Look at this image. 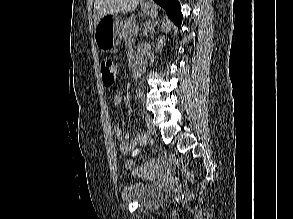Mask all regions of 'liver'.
<instances>
[{"instance_id":"liver-1","label":"liver","mask_w":293,"mask_h":219,"mask_svg":"<svg viewBox=\"0 0 293 219\" xmlns=\"http://www.w3.org/2000/svg\"><path fill=\"white\" fill-rule=\"evenodd\" d=\"M142 0H95L94 26L108 14L130 13Z\"/></svg>"}]
</instances>
